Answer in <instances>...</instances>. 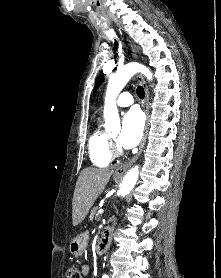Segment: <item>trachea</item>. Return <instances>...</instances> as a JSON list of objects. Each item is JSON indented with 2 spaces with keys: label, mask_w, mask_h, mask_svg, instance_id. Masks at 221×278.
Segmentation results:
<instances>
[{
  "label": "trachea",
  "mask_w": 221,
  "mask_h": 278,
  "mask_svg": "<svg viewBox=\"0 0 221 278\" xmlns=\"http://www.w3.org/2000/svg\"><path fill=\"white\" fill-rule=\"evenodd\" d=\"M136 93L140 99H143L145 96V91L142 86L137 87Z\"/></svg>",
  "instance_id": "obj_1"
}]
</instances>
